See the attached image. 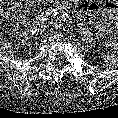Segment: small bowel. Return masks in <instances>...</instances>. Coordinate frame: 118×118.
Wrapping results in <instances>:
<instances>
[{"label":"small bowel","instance_id":"c3829d8e","mask_svg":"<svg viewBox=\"0 0 118 118\" xmlns=\"http://www.w3.org/2000/svg\"><path fill=\"white\" fill-rule=\"evenodd\" d=\"M48 1H53V0H48ZM56 4L60 7H68L69 3L64 2V1H57ZM96 4H93V6H95ZM91 6V5H89ZM92 9H89L88 11V15L92 16ZM104 14L106 17H108L117 28H118V3L113 2L108 3L105 7H104Z\"/></svg>","mask_w":118,"mask_h":118}]
</instances>
